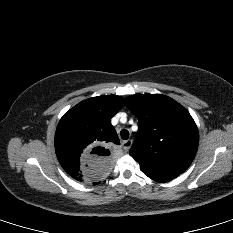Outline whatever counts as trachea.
<instances>
[{
	"label": "trachea",
	"instance_id": "3493384b",
	"mask_svg": "<svg viewBox=\"0 0 233 233\" xmlns=\"http://www.w3.org/2000/svg\"><path fill=\"white\" fill-rule=\"evenodd\" d=\"M120 135H121V138H122L123 140H127L128 137H129V131L126 130V129H122V130L120 131Z\"/></svg>",
	"mask_w": 233,
	"mask_h": 233
}]
</instances>
